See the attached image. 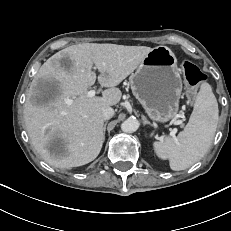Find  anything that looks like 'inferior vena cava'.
Listing matches in <instances>:
<instances>
[{
  "mask_svg": "<svg viewBox=\"0 0 231 231\" xmlns=\"http://www.w3.org/2000/svg\"><path fill=\"white\" fill-rule=\"evenodd\" d=\"M101 115H102V118L104 120H109L110 118L113 117L114 110H113V108L106 106V107L102 108Z\"/></svg>",
  "mask_w": 231,
  "mask_h": 231,
  "instance_id": "obj_1",
  "label": "inferior vena cava"
}]
</instances>
